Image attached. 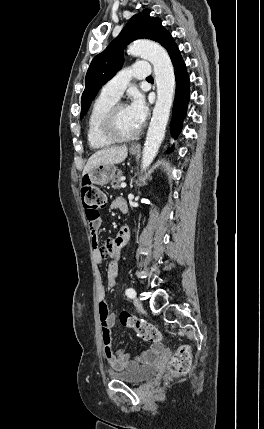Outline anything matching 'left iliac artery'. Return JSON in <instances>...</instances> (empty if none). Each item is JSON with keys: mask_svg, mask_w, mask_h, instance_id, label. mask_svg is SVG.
<instances>
[{"mask_svg": "<svg viewBox=\"0 0 264 429\" xmlns=\"http://www.w3.org/2000/svg\"><path fill=\"white\" fill-rule=\"evenodd\" d=\"M135 290L133 289V288H127L126 289V291H125V293H126V295L129 297V298H132L131 297V294H132V292H134Z\"/></svg>", "mask_w": 264, "mask_h": 429, "instance_id": "obj_1", "label": "left iliac artery"}]
</instances>
